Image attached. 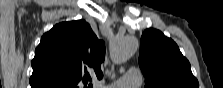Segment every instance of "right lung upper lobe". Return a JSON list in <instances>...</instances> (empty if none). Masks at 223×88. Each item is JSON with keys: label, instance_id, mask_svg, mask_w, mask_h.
<instances>
[{"label": "right lung upper lobe", "instance_id": "right-lung-upper-lobe-1", "mask_svg": "<svg viewBox=\"0 0 223 88\" xmlns=\"http://www.w3.org/2000/svg\"><path fill=\"white\" fill-rule=\"evenodd\" d=\"M105 44L84 20L63 22L45 33L32 60V88H87L102 78Z\"/></svg>", "mask_w": 223, "mask_h": 88}]
</instances>
